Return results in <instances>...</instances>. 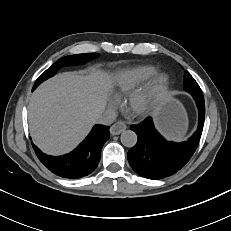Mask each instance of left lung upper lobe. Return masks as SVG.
I'll list each match as a JSON object with an SVG mask.
<instances>
[{
    "mask_svg": "<svg viewBox=\"0 0 231 231\" xmlns=\"http://www.w3.org/2000/svg\"><path fill=\"white\" fill-rule=\"evenodd\" d=\"M184 88L194 97L195 100H204L203 93L199 85L188 71L185 72Z\"/></svg>",
    "mask_w": 231,
    "mask_h": 231,
    "instance_id": "left-lung-upper-lobe-1",
    "label": "left lung upper lobe"
}]
</instances>
